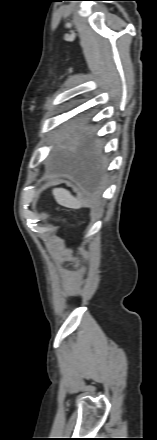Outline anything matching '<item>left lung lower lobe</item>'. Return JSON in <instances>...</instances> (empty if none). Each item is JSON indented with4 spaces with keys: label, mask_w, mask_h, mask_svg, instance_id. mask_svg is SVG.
<instances>
[{
    "label": "left lung lower lobe",
    "mask_w": 157,
    "mask_h": 440,
    "mask_svg": "<svg viewBox=\"0 0 157 440\" xmlns=\"http://www.w3.org/2000/svg\"><path fill=\"white\" fill-rule=\"evenodd\" d=\"M68 169L88 183H95L100 175L101 163L91 149L80 152L68 163Z\"/></svg>",
    "instance_id": "obj_1"
}]
</instances>
